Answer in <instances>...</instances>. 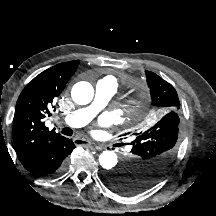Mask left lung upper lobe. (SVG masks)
<instances>
[{"mask_svg":"<svg viewBox=\"0 0 216 216\" xmlns=\"http://www.w3.org/2000/svg\"><path fill=\"white\" fill-rule=\"evenodd\" d=\"M145 74L152 105L161 110L153 126L133 133L132 149L121 167L107 173L106 184L120 194H138L157 183L172 165L185 131L174 87L153 72Z\"/></svg>","mask_w":216,"mask_h":216,"instance_id":"5c2ea615","label":"left lung upper lobe"}]
</instances>
